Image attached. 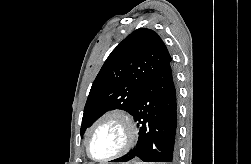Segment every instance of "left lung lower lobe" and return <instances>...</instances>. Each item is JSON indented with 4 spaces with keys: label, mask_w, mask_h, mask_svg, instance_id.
I'll list each match as a JSON object with an SVG mask.
<instances>
[{
    "label": "left lung lower lobe",
    "mask_w": 251,
    "mask_h": 164,
    "mask_svg": "<svg viewBox=\"0 0 251 164\" xmlns=\"http://www.w3.org/2000/svg\"><path fill=\"white\" fill-rule=\"evenodd\" d=\"M131 114L138 121L139 139L129 155L118 162L136 157L144 162H175L177 94L171 62L146 84Z\"/></svg>",
    "instance_id": "1"
}]
</instances>
